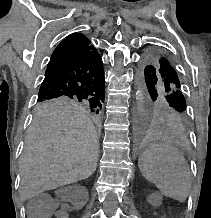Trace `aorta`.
<instances>
[{"label": "aorta", "instance_id": "1", "mask_svg": "<svg viewBox=\"0 0 211 218\" xmlns=\"http://www.w3.org/2000/svg\"><path fill=\"white\" fill-rule=\"evenodd\" d=\"M140 101H141V93H138L137 94V109H138V111H139V107H140Z\"/></svg>", "mask_w": 211, "mask_h": 218}]
</instances>
